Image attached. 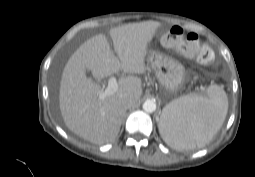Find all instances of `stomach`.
I'll return each instance as SVG.
<instances>
[{
    "label": "stomach",
    "mask_w": 255,
    "mask_h": 177,
    "mask_svg": "<svg viewBox=\"0 0 255 177\" xmlns=\"http://www.w3.org/2000/svg\"><path fill=\"white\" fill-rule=\"evenodd\" d=\"M167 37L164 35L163 38ZM148 62L162 86L170 93L177 92L184 82V66L177 60L157 51H151Z\"/></svg>",
    "instance_id": "stomach-1"
}]
</instances>
